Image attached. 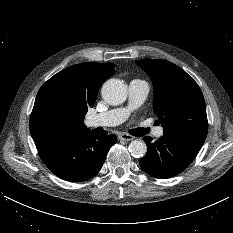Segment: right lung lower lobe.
<instances>
[{"label":"right lung lower lobe","mask_w":233,"mask_h":233,"mask_svg":"<svg viewBox=\"0 0 233 233\" xmlns=\"http://www.w3.org/2000/svg\"><path fill=\"white\" fill-rule=\"evenodd\" d=\"M116 141L114 134L100 136L86 131L61 135L36 147L42 161L56 176L81 182L98 173Z\"/></svg>","instance_id":"right-lung-lower-lobe-1"}]
</instances>
